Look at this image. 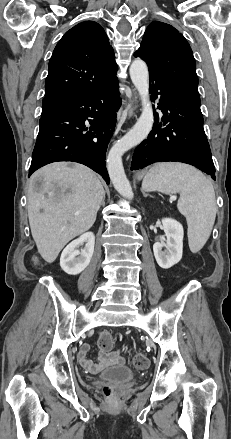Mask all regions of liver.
I'll return each instance as SVG.
<instances>
[{
  "label": "liver",
  "mask_w": 231,
  "mask_h": 439,
  "mask_svg": "<svg viewBox=\"0 0 231 439\" xmlns=\"http://www.w3.org/2000/svg\"><path fill=\"white\" fill-rule=\"evenodd\" d=\"M41 180L42 187L35 188ZM104 196L103 186L84 165L56 162L37 170L28 189V218L42 258L52 263L73 238L89 230Z\"/></svg>",
  "instance_id": "liver-1"
}]
</instances>
